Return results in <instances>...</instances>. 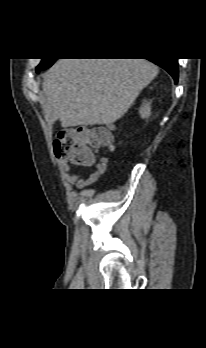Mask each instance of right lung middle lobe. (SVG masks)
Returning a JSON list of instances; mask_svg holds the SVG:
<instances>
[{"label":"right lung middle lobe","instance_id":"obj_1","mask_svg":"<svg viewBox=\"0 0 206 348\" xmlns=\"http://www.w3.org/2000/svg\"><path fill=\"white\" fill-rule=\"evenodd\" d=\"M56 59H42L41 63L37 66L36 71H40L50 67Z\"/></svg>","mask_w":206,"mask_h":348}]
</instances>
